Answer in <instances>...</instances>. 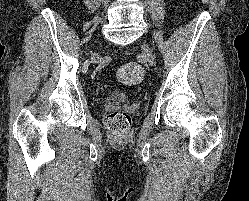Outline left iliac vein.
I'll use <instances>...</instances> for the list:
<instances>
[{
  "instance_id": "left-iliac-vein-1",
  "label": "left iliac vein",
  "mask_w": 249,
  "mask_h": 201,
  "mask_svg": "<svg viewBox=\"0 0 249 201\" xmlns=\"http://www.w3.org/2000/svg\"><path fill=\"white\" fill-rule=\"evenodd\" d=\"M142 50H143V55L146 59V61L150 64L153 65L154 64V54L152 53L151 49L149 48V46L147 44H143L142 46Z\"/></svg>"
}]
</instances>
